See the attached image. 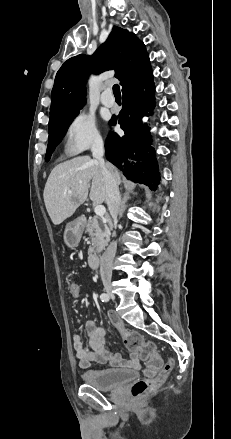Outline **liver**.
<instances>
[{
	"label": "liver",
	"mask_w": 231,
	"mask_h": 439,
	"mask_svg": "<svg viewBox=\"0 0 231 439\" xmlns=\"http://www.w3.org/2000/svg\"><path fill=\"white\" fill-rule=\"evenodd\" d=\"M113 172L120 182V175L114 167ZM69 190L72 191L71 194H68ZM88 193L94 204L107 203L103 169L96 159L79 156L55 166L43 193L45 206L53 224L59 225L72 216L85 202Z\"/></svg>",
	"instance_id": "liver-1"
}]
</instances>
